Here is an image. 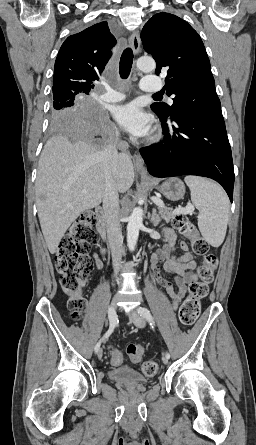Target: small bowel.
Returning <instances> with one entry per match:
<instances>
[{"label":"small bowel","mask_w":256,"mask_h":445,"mask_svg":"<svg viewBox=\"0 0 256 445\" xmlns=\"http://www.w3.org/2000/svg\"><path fill=\"white\" fill-rule=\"evenodd\" d=\"M181 248L186 249L182 244ZM100 253L94 254L96 267L101 269L103 266ZM162 267L166 274L173 277V280H167L159 274V268ZM195 262L189 254L177 256L175 254L174 239L169 233H166L165 244L151 257V270L156 280L165 288L171 299V307L176 309L186 294L187 286L198 279V275L193 272Z\"/></svg>","instance_id":"small-bowel-1"}]
</instances>
